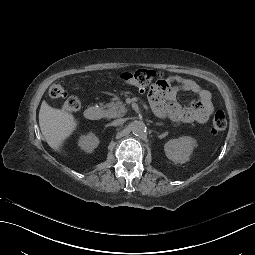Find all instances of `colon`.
Here are the masks:
<instances>
[{"instance_id": "obj_1", "label": "colon", "mask_w": 255, "mask_h": 255, "mask_svg": "<svg viewBox=\"0 0 255 255\" xmlns=\"http://www.w3.org/2000/svg\"><path fill=\"white\" fill-rule=\"evenodd\" d=\"M157 79L154 85L163 86L161 75L154 70L139 69L134 72H125L120 75L123 84L144 88ZM66 95L65 87L60 83H54L49 88V96L53 99L62 98ZM81 107L77 97H69L63 104V110L67 113L77 112ZM227 126L226 116L223 111H217L212 120V131L217 133L225 130Z\"/></svg>"}]
</instances>
